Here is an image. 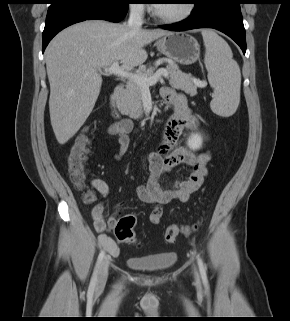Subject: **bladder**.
Here are the masks:
<instances>
[{"label": "bladder", "mask_w": 290, "mask_h": 321, "mask_svg": "<svg viewBox=\"0 0 290 321\" xmlns=\"http://www.w3.org/2000/svg\"><path fill=\"white\" fill-rule=\"evenodd\" d=\"M176 253H165L149 257H128L126 263L139 271L161 272L169 269L176 260Z\"/></svg>", "instance_id": "1"}]
</instances>
